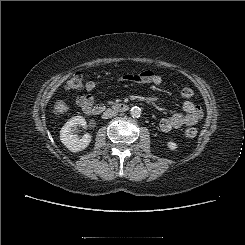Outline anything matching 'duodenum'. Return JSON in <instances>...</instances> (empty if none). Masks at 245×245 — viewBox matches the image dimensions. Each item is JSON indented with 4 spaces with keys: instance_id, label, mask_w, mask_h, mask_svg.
I'll return each instance as SVG.
<instances>
[{
    "instance_id": "duodenum-1",
    "label": "duodenum",
    "mask_w": 245,
    "mask_h": 245,
    "mask_svg": "<svg viewBox=\"0 0 245 245\" xmlns=\"http://www.w3.org/2000/svg\"><path fill=\"white\" fill-rule=\"evenodd\" d=\"M105 109L106 107L103 104L92 105L88 110V114H90L91 116H97L101 114L103 111H105ZM112 109L116 112L123 113L129 110V105L124 103H118L113 105Z\"/></svg>"
}]
</instances>
